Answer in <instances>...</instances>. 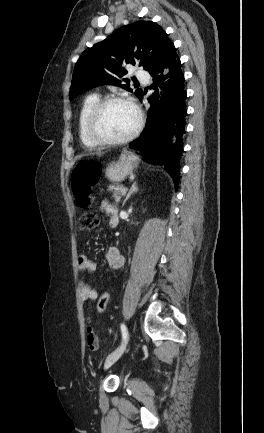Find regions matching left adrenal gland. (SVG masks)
Here are the masks:
<instances>
[{
	"instance_id": "1",
	"label": "left adrenal gland",
	"mask_w": 264,
	"mask_h": 433,
	"mask_svg": "<svg viewBox=\"0 0 264 433\" xmlns=\"http://www.w3.org/2000/svg\"><path fill=\"white\" fill-rule=\"evenodd\" d=\"M136 192H138V186H137V183L135 181V182H133V184H132V186H131V188H130L127 196H126V198L124 199V201L122 203V207L125 205L126 201L130 198V196L133 195Z\"/></svg>"
}]
</instances>
